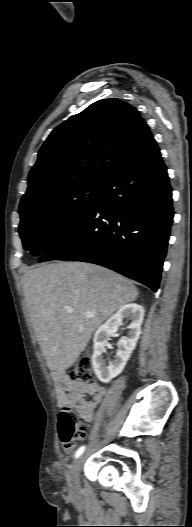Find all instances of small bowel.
Returning <instances> with one entry per match:
<instances>
[{
	"instance_id": "obj_1",
	"label": "small bowel",
	"mask_w": 192,
	"mask_h": 527,
	"mask_svg": "<svg viewBox=\"0 0 192 527\" xmlns=\"http://www.w3.org/2000/svg\"><path fill=\"white\" fill-rule=\"evenodd\" d=\"M56 381L62 392L60 404L71 405L85 422H92L94 410L105 395V388L97 383L81 384L72 381L64 372L56 373ZM87 394L92 396L90 400L85 398Z\"/></svg>"
}]
</instances>
